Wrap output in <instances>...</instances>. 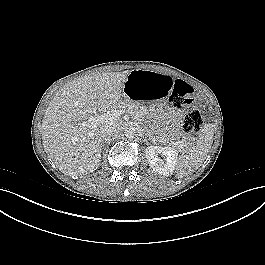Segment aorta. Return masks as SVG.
<instances>
[{"mask_svg": "<svg viewBox=\"0 0 265 265\" xmlns=\"http://www.w3.org/2000/svg\"><path fill=\"white\" fill-rule=\"evenodd\" d=\"M124 135L127 137V138H134L135 135H136V130L135 128H133L132 126H128L125 128L124 130Z\"/></svg>", "mask_w": 265, "mask_h": 265, "instance_id": "aorta-1", "label": "aorta"}]
</instances>
